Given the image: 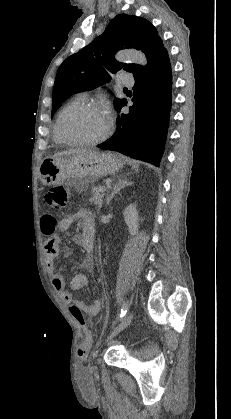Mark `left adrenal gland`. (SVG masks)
Instances as JSON below:
<instances>
[{"label":"left adrenal gland","instance_id":"obj_1","mask_svg":"<svg viewBox=\"0 0 231 419\" xmlns=\"http://www.w3.org/2000/svg\"><path fill=\"white\" fill-rule=\"evenodd\" d=\"M130 185H132V182H129L128 180H119V181L115 184V186H114V188H113V191H112L111 195L107 197V200H106V205H108V204L110 203V201L112 200V198H113L116 194H118L122 188H125L126 186H130Z\"/></svg>","mask_w":231,"mask_h":419}]
</instances>
